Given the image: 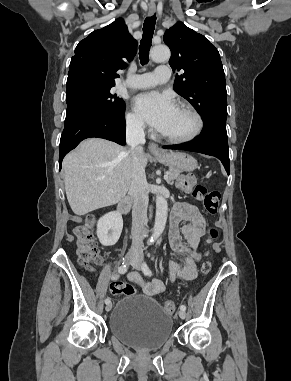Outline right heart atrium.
I'll return each instance as SVG.
<instances>
[{"instance_id": "obj_1", "label": "right heart atrium", "mask_w": 291, "mask_h": 381, "mask_svg": "<svg viewBox=\"0 0 291 381\" xmlns=\"http://www.w3.org/2000/svg\"><path fill=\"white\" fill-rule=\"evenodd\" d=\"M126 125L134 132H142L145 129V124L142 118L135 112H128L126 115Z\"/></svg>"}]
</instances>
